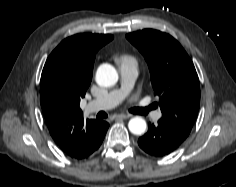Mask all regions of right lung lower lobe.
I'll use <instances>...</instances> for the list:
<instances>
[{
    "mask_svg": "<svg viewBox=\"0 0 236 187\" xmlns=\"http://www.w3.org/2000/svg\"><path fill=\"white\" fill-rule=\"evenodd\" d=\"M108 127H109V124L107 122L101 121L100 128H99V131L97 133L96 139H95V141H94V143L91 147L90 152L88 153V155L86 157L91 155L94 151H96L100 147V145H101V143L104 139V136H105V134L108 130Z\"/></svg>",
    "mask_w": 236,
    "mask_h": 187,
    "instance_id": "98d812e1",
    "label": "right lung lower lobe"
}]
</instances>
